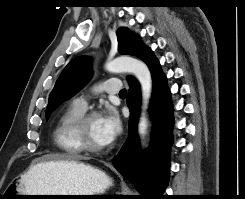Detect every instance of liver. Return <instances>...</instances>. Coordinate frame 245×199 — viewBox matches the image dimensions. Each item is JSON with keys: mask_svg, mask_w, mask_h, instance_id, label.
I'll list each match as a JSON object with an SVG mask.
<instances>
[{"mask_svg": "<svg viewBox=\"0 0 245 199\" xmlns=\"http://www.w3.org/2000/svg\"><path fill=\"white\" fill-rule=\"evenodd\" d=\"M83 159H86V157L79 156V155L55 154V155L46 156L45 158H42V161L40 163L33 165L30 168L29 172L23 176H25L26 179L28 180L32 177L37 176V174L45 173V170L47 172L51 170L55 171L56 165L78 162L79 160H83ZM40 166H42L44 169L43 170L39 169L38 167Z\"/></svg>", "mask_w": 245, "mask_h": 199, "instance_id": "liver-1", "label": "liver"}]
</instances>
